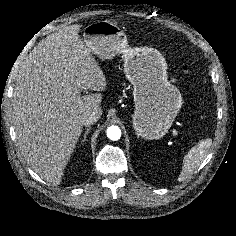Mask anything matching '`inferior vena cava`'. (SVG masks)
I'll list each match as a JSON object with an SVG mask.
<instances>
[{"mask_svg": "<svg viewBox=\"0 0 236 236\" xmlns=\"http://www.w3.org/2000/svg\"><path fill=\"white\" fill-rule=\"evenodd\" d=\"M99 117L100 116L94 111L85 112L81 118L82 125H84V126L93 125L94 123H96L98 121Z\"/></svg>", "mask_w": 236, "mask_h": 236, "instance_id": "obj_1", "label": "inferior vena cava"}]
</instances>
